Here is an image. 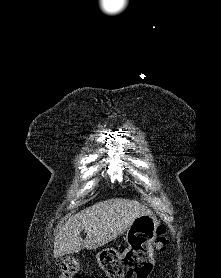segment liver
I'll use <instances>...</instances> for the list:
<instances>
[{"instance_id": "6515ba94", "label": "liver", "mask_w": 221, "mask_h": 278, "mask_svg": "<svg viewBox=\"0 0 221 278\" xmlns=\"http://www.w3.org/2000/svg\"><path fill=\"white\" fill-rule=\"evenodd\" d=\"M151 210L135 200L112 198L98 202L71 216L54 240V257L97 249L123 234L134 219ZM82 230L86 232L83 240Z\"/></svg>"}]
</instances>
